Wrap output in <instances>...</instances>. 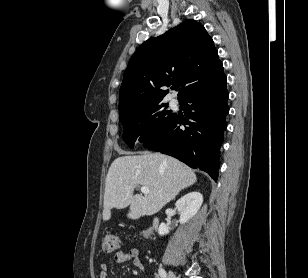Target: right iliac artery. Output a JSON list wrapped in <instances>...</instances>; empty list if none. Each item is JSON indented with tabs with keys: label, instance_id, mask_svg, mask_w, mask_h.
<instances>
[{
	"label": "right iliac artery",
	"instance_id": "right-iliac-artery-1",
	"mask_svg": "<svg viewBox=\"0 0 308 278\" xmlns=\"http://www.w3.org/2000/svg\"><path fill=\"white\" fill-rule=\"evenodd\" d=\"M158 272L161 278H167V274L163 268H159Z\"/></svg>",
	"mask_w": 308,
	"mask_h": 278
}]
</instances>
